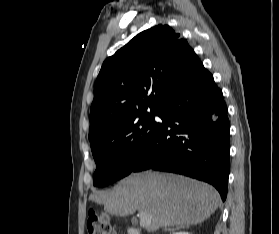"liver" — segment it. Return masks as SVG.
<instances>
[{
  "instance_id": "1",
  "label": "liver",
  "mask_w": 279,
  "mask_h": 234,
  "mask_svg": "<svg viewBox=\"0 0 279 234\" xmlns=\"http://www.w3.org/2000/svg\"><path fill=\"white\" fill-rule=\"evenodd\" d=\"M91 199L116 216L145 213L149 231L184 228L210 217L221 204L219 193L206 183L175 174L147 171L122 179L112 190Z\"/></svg>"
}]
</instances>
